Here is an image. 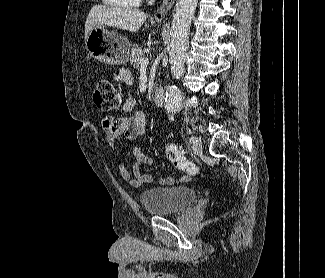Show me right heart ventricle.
Listing matches in <instances>:
<instances>
[{
	"label": "right heart ventricle",
	"instance_id": "obj_1",
	"mask_svg": "<svg viewBox=\"0 0 325 278\" xmlns=\"http://www.w3.org/2000/svg\"><path fill=\"white\" fill-rule=\"evenodd\" d=\"M105 4L117 8H136L141 0H102Z\"/></svg>",
	"mask_w": 325,
	"mask_h": 278
}]
</instances>
